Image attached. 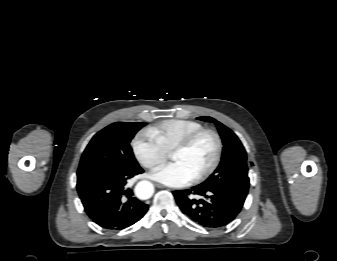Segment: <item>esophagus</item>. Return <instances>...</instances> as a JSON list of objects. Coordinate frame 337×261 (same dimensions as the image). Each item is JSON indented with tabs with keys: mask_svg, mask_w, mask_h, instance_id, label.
<instances>
[{
	"mask_svg": "<svg viewBox=\"0 0 337 261\" xmlns=\"http://www.w3.org/2000/svg\"><path fill=\"white\" fill-rule=\"evenodd\" d=\"M155 186H156L157 188H160V189L166 188L164 185L159 184V183H155Z\"/></svg>",
	"mask_w": 337,
	"mask_h": 261,
	"instance_id": "obj_1",
	"label": "esophagus"
}]
</instances>
